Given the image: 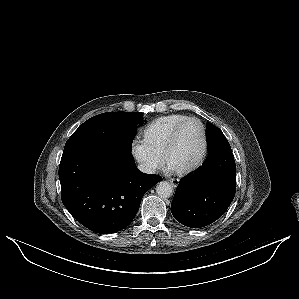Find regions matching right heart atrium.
<instances>
[{
	"instance_id": "right-heart-atrium-1",
	"label": "right heart atrium",
	"mask_w": 299,
	"mask_h": 299,
	"mask_svg": "<svg viewBox=\"0 0 299 299\" xmlns=\"http://www.w3.org/2000/svg\"><path fill=\"white\" fill-rule=\"evenodd\" d=\"M131 154L144 172L153 173L161 166L160 158L150 153L144 142L134 141Z\"/></svg>"
}]
</instances>
